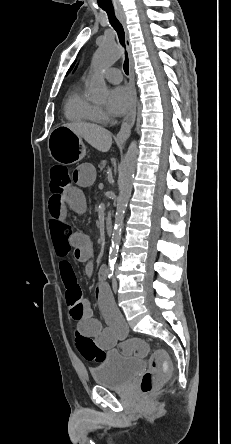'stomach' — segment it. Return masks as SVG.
Here are the masks:
<instances>
[{
	"mask_svg": "<svg viewBox=\"0 0 231 444\" xmlns=\"http://www.w3.org/2000/svg\"><path fill=\"white\" fill-rule=\"evenodd\" d=\"M48 150L58 163L73 164L84 158L86 148L81 137L64 126L56 127L48 139Z\"/></svg>",
	"mask_w": 231,
	"mask_h": 444,
	"instance_id": "1",
	"label": "stomach"
}]
</instances>
